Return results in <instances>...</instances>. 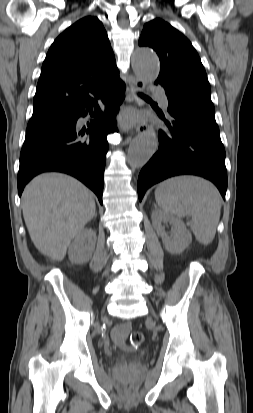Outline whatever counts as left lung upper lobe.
I'll return each instance as SVG.
<instances>
[{"instance_id": "obj_1", "label": "left lung upper lobe", "mask_w": 253, "mask_h": 413, "mask_svg": "<svg viewBox=\"0 0 253 413\" xmlns=\"http://www.w3.org/2000/svg\"><path fill=\"white\" fill-rule=\"evenodd\" d=\"M140 46L153 48L160 59L161 70L155 84L210 108L211 88L198 53L190 41L162 19L144 25Z\"/></svg>"}]
</instances>
